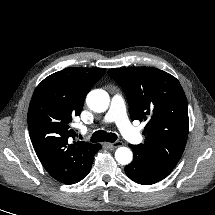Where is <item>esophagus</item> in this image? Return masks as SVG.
<instances>
[{
  "instance_id": "34e87169",
  "label": "esophagus",
  "mask_w": 215,
  "mask_h": 215,
  "mask_svg": "<svg viewBox=\"0 0 215 215\" xmlns=\"http://www.w3.org/2000/svg\"><path fill=\"white\" fill-rule=\"evenodd\" d=\"M106 145H107L109 148L114 149V148H117V147L122 146L123 143L120 142V141H116V142H114V143H106Z\"/></svg>"
}]
</instances>
